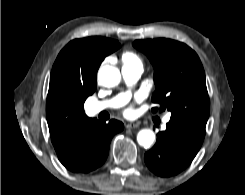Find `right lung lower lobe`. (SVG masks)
I'll return each instance as SVG.
<instances>
[{
    "mask_svg": "<svg viewBox=\"0 0 245 195\" xmlns=\"http://www.w3.org/2000/svg\"><path fill=\"white\" fill-rule=\"evenodd\" d=\"M123 128L117 120L106 123L94 119L83 128L70 150L58 158L71 172L89 173L105 162L112 137Z\"/></svg>",
    "mask_w": 245,
    "mask_h": 195,
    "instance_id": "1",
    "label": "right lung lower lobe"
}]
</instances>
